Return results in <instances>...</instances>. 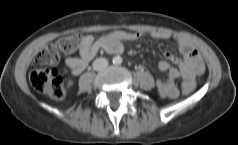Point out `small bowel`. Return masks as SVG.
<instances>
[{"instance_id":"1","label":"small bowel","mask_w":238,"mask_h":145,"mask_svg":"<svg viewBox=\"0 0 238 145\" xmlns=\"http://www.w3.org/2000/svg\"><path fill=\"white\" fill-rule=\"evenodd\" d=\"M171 36L170 33L161 30L151 32L116 30L103 34L98 39H95L91 34H83L80 35L78 56L68 57L66 65L72 73L80 74L100 51L120 54L124 50V41H134L144 37L161 40ZM174 39L178 49L183 53L184 59L180 60L172 53L166 52V58L177 64V67H172L166 60L159 61L158 68L167 72L166 80H157L156 82L157 90L164 98L178 96L176 79L179 77L184 80V84L195 87L196 76L201 74L205 68L199 52L188 39L181 36H175Z\"/></svg>"}]
</instances>
